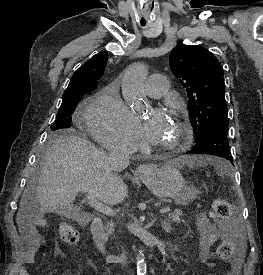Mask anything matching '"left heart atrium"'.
Here are the masks:
<instances>
[{
    "label": "left heart atrium",
    "mask_w": 263,
    "mask_h": 275,
    "mask_svg": "<svg viewBox=\"0 0 263 275\" xmlns=\"http://www.w3.org/2000/svg\"><path fill=\"white\" fill-rule=\"evenodd\" d=\"M166 121V115L162 111L154 112L152 117L143 126V132L146 139L150 142H154Z\"/></svg>",
    "instance_id": "obj_1"
}]
</instances>
